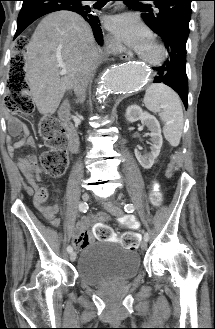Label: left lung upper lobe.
<instances>
[{"label": "left lung upper lobe", "instance_id": "left-lung-upper-lobe-1", "mask_svg": "<svg viewBox=\"0 0 215 329\" xmlns=\"http://www.w3.org/2000/svg\"><path fill=\"white\" fill-rule=\"evenodd\" d=\"M159 9L157 14L142 13L144 22L155 33L164 27H173L185 35H189L191 18V2L193 0H151Z\"/></svg>", "mask_w": 215, "mask_h": 329}]
</instances>
